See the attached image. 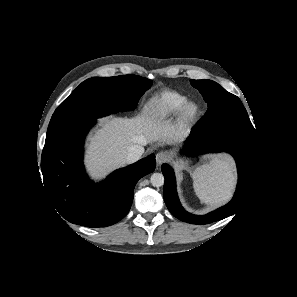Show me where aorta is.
Masks as SVG:
<instances>
[{"instance_id":"aorta-1","label":"aorta","mask_w":297,"mask_h":297,"mask_svg":"<svg viewBox=\"0 0 297 297\" xmlns=\"http://www.w3.org/2000/svg\"><path fill=\"white\" fill-rule=\"evenodd\" d=\"M150 181L154 187H160L164 184V176L162 173H153Z\"/></svg>"}]
</instances>
